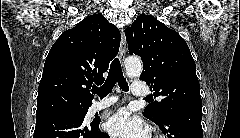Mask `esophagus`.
Here are the masks:
<instances>
[{"label":"esophagus","instance_id":"obj_1","mask_svg":"<svg viewBox=\"0 0 240 138\" xmlns=\"http://www.w3.org/2000/svg\"><path fill=\"white\" fill-rule=\"evenodd\" d=\"M126 51H127L126 37H125L124 29H122L121 42H120V61H121V63L125 59Z\"/></svg>","mask_w":240,"mask_h":138}]
</instances>
